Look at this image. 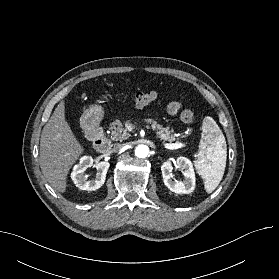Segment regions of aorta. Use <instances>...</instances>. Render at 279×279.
Segmentation results:
<instances>
[{"instance_id":"762f6f07","label":"aorta","mask_w":279,"mask_h":279,"mask_svg":"<svg viewBox=\"0 0 279 279\" xmlns=\"http://www.w3.org/2000/svg\"><path fill=\"white\" fill-rule=\"evenodd\" d=\"M149 153V148L146 145H138L135 149V155L138 158H145Z\"/></svg>"}]
</instances>
